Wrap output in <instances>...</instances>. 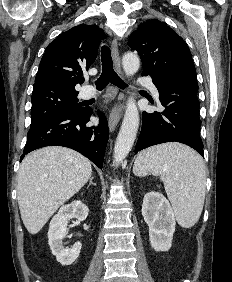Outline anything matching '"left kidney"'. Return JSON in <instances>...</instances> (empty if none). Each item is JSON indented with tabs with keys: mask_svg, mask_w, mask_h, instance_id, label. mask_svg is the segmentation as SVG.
<instances>
[{
	"mask_svg": "<svg viewBox=\"0 0 232 282\" xmlns=\"http://www.w3.org/2000/svg\"><path fill=\"white\" fill-rule=\"evenodd\" d=\"M142 215L149 226L151 247L155 251H168L176 225L169 201L159 192H148L143 199Z\"/></svg>",
	"mask_w": 232,
	"mask_h": 282,
	"instance_id": "5707ae66",
	"label": "left kidney"
}]
</instances>
